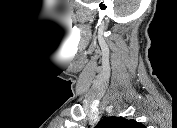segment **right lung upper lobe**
<instances>
[{
  "instance_id": "1",
  "label": "right lung upper lobe",
  "mask_w": 177,
  "mask_h": 128,
  "mask_svg": "<svg viewBox=\"0 0 177 128\" xmlns=\"http://www.w3.org/2000/svg\"><path fill=\"white\" fill-rule=\"evenodd\" d=\"M97 127L99 128H143L144 125L135 120H128L121 117H106L102 119Z\"/></svg>"
}]
</instances>
